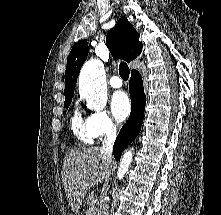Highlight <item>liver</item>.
<instances>
[{
    "label": "liver",
    "mask_w": 221,
    "mask_h": 215,
    "mask_svg": "<svg viewBox=\"0 0 221 215\" xmlns=\"http://www.w3.org/2000/svg\"><path fill=\"white\" fill-rule=\"evenodd\" d=\"M111 161L104 158L100 148L72 149L64 157L62 182L69 205L75 214L88 190L97 183L108 182Z\"/></svg>",
    "instance_id": "6515ba94"
}]
</instances>
